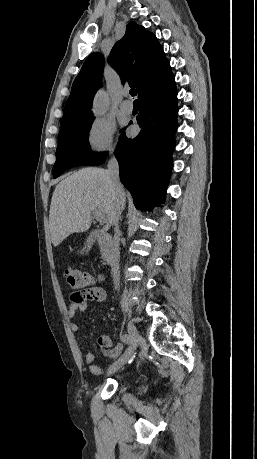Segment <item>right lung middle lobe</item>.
<instances>
[{
    "label": "right lung middle lobe",
    "mask_w": 257,
    "mask_h": 459,
    "mask_svg": "<svg viewBox=\"0 0 257 459\" xmlns=\"http://www.w3.org/2000/svg\"><path fill=\"white\" fill-rule=\"evenodd\" d=\"M94 118L59 134L56 150V162L53 167V176L57 178L65 170L74 166L94 165L106 154H94L89 149L88 132Z\"/></svg>",
    "instance_id": "right-lung-middle-lobe-1"
}]
</instances>
